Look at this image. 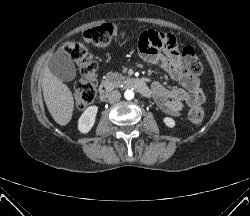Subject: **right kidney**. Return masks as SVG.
<instances>
[{
    "label": "right kidney",
    "instance_id": "ca27d5eb",
    "mask_svg": "<svg viewBox=\"0 0 250 216\" xmlns=\"http://www.w3.org/2000/svg\"><path fill=\"white\" fill-rule=\"evenodd\" d=\"M97 112V106H90L83 112L78 120V130L81 133L86 134L91 130L95 123Z\"/></svg>",
    "mask_w": 250,
    "mask_h": 216
}]
</instances>
